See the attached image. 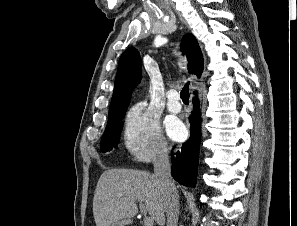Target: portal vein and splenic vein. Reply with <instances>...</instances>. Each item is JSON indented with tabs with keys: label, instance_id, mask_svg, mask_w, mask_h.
Listing matches in <instances>:
<instances>
[{
	"label": "portal vein and splenic vein",
	"instance_id": "obj_1",
	"mask_svg": "<svg viewBox=\"0 0 297 226\" xmlns=\"http://www.w3.org/2000/svg\"><path fill=\"white\" fill-rule=\"evenodd\" d=\"M139 206H140L141 212L146 213V208H145V205L142 203V201H140ZM143 221L145 226H152L154 224V219L150 216L145 215Z\"/></svg>",
	"mask_w": 297,
	"mask_h": 226
}]
</instances>
